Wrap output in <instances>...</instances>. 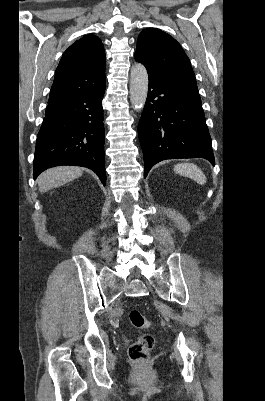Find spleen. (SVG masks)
I'll use <instances>...</instances> for the list:
<instances>
[{"label":"spleen","instance_id":"1","mask_svg":"<svg viewBox=\"0 0 265 401\" xmlns=\"http://www.w3.org/2000/svg\"><path fill=\"white\" fill-rule=\"evenodd\" d=\"M174 170L177 174H181V176H189V178H193V180H196L198 184H205L207 180L203 170H201L199 166H196V164H192V162L175 164Z\"/></svg>","mask_w":265,"mask_h":401}]
</instances>
